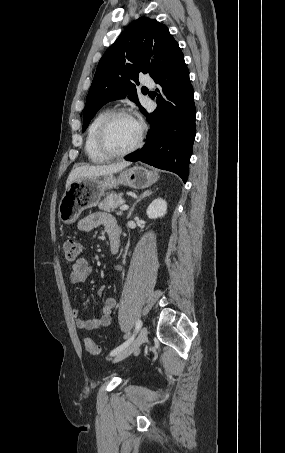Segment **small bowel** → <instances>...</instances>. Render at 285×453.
<instances>
[{
    "mask_svg": "<svg viewBox=\"0 0 285 453\" xmlns=\"http://www.w3.org/2000/svg\"><path fill=\"white\" fill-rule=\"evenodd\" d=\"M104 226L107 235L111 241L120 242L121 229L116 220L107 213L97 212L86 216L78 222V230L81 232H89L99 226ZM118 270H122V266H116ZM93 273V267L89 261L80 256L76 259L71 267L70 280L73 284L84 282ZM103 288L98 291V296L102 294ZM116 306V299L109 297L106 299L102 308L101 315L95 318L83 319L80 317V310L74 308L72 314L75 317L76 326L79 329L93 330L102 326H107L112 320V310Z\"/></svg>",
    "mask_w": 285,
    "mask_h": 453,
    "instance_id": "c3829d8e",
    "label": "small bowel"
}]
</instances>
